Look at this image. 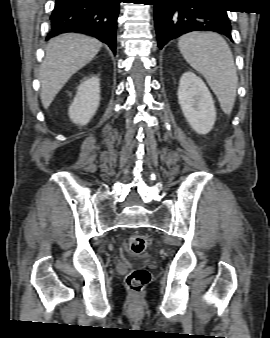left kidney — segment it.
I'll list each match as a JSON object with an SVG mask.
<instances>
[{
  "mask_svg": "<svg viewBox=\"0 0 270 338\" xmlns=\"http://www.w3.org/2000/svg\"><path fill=\"white\" fill-rule=\"evenodd\" d=\"M178 101L182 112L198 134L209 133L216 120V109L212 95L201 78L185 72L179 81Z\"/></svg>",
  "mask_w": 270,
  "mask_h": 338,
  "instance_id": "obj_1",
  "label": "left kidney"
}]
</instances>
